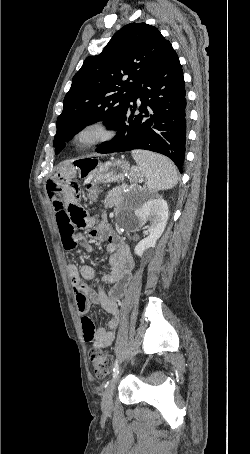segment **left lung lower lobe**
Segmentation results:
<instances>
[{"label":"left lung lower lobe","mask_w":250,"mask_h":454,"mask_svg":"<svg viewBox=\"0 0 250 454\" xmlns=\"http://www.w3.org/2000/svg\"><path fill=\"white\" fill-rule=\"evenodd\" d=\"M185 96L182 66L174 50L139 86L114 129L117 135L99 144L96 152L150 150L169 157L182 173L186 143ZM138 97L142 102L139 107Z\"/></svg>","instance_id":"obj_1"}]
</instances>
